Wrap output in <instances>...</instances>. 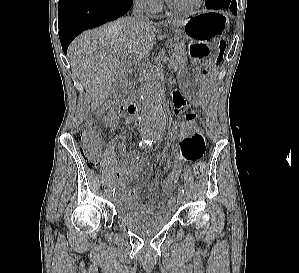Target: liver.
Returning a JSON list of instances; mask_svg holds the SVG:
<instances>
[{"mask_svg": "<svg viewBox=\"0 0 299 273\" xmlns=\"http://www.w3.org/2000/svg\"><path fill=\"white\" fill-rule=\"evenodd\" d=\"M186 20L174 19L167 22L172 28L181 27ZM161 24L142 22L131 17L121 18L95 30L86 31L76 38L68 49L72 69L80 78L97 108L117 88V73L123 67L124 58L141 60L153 49L160 36Z\"/></svg>", "mask_w": 299, "mask_h": 273, "instance_id": "1", "label": "liver"}]
</instances>
